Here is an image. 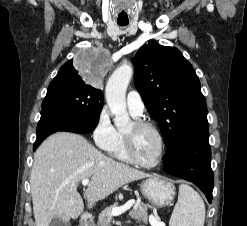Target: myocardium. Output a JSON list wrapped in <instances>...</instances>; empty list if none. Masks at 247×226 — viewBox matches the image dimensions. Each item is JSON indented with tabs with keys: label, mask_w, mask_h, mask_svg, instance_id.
I'll use <instances>...</instances> for the list:
<instances>
[{
	"label": "myocardium",
	"mask_w": 247,
	"mask_h": 226,
	"mask_svg": "<svg viewBox=\"0 0 247 226\" xmlns=\"http://www.w3.org/2000/svg\"><path fill=\"white\" fill-rule=\"evenodd\" d=\"M132 125V129L133 130H137V129H141V128H148L150 130H152L158 137L159 142H160V153L159 156L157 158V160L153 163H145L143 161H141L134 150V146H133V135L132 132H128V131H124L123 132V139H124V147H125V151L126 154L128 156V158L131 160V162L135 163L136 165L143 167V168H155L157 166H159L165 156L166 153V143H165V138L162 134V132L160 131V129L153 124L152 122L149 121H145V120H135L133 121Z\"/></svg>",
	"instance_id": "myocardium-1"
}]
</instances>
